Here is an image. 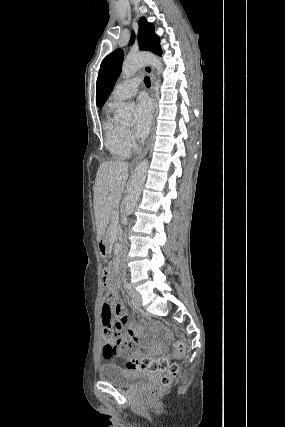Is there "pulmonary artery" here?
Segmentation results:
<instances>
[{
  "mask_svg": "<svg viewBox=\"0 0 285 427\" xmlns=\"http://www.w3.org/2000/svg\"><path fill=\"white\" fill-rule=\"evenodd\" d=\"M140 79L133 77L123 81L112 92L110 102L118 104L126 99L134 97L138 91Z\"/></svg>",
  "mask_w": 285,
  "mask_h": 427,
  "instance_id": "pulmonary-artery-1",
  "label": "pulmonary artery"
}]
</instances>
